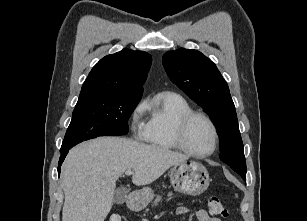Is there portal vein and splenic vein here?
<instances>
[{
    "mask_svg": "<svg viewBox=\"0 0 307 221\" xmlns=\"http://www.w3.org/2000/svg\"><path fill=\"white\" fill-rule=\"evenodd\" d=\"M133 174V171L132 170H127L126 172H125V175H127V176H130V175H132Z\"/></svg>",
    "mask_w": 307,
    "mask_h": 221,
    "instance_id": "18ae733b",
    "label": "portal vein and splenic vein"
}]
</instances>
